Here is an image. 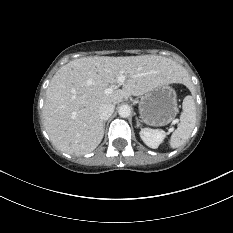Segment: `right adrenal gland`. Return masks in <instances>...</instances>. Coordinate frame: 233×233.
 <instances>
[{
	"label": "right adrenal gland",
	"instance_id": "right-adrenal-gland-1",
	"mask_svg": "<svg viewBox=\"0 0 233 233\" xmlns=\"http://www.w3.org/2000/svg\"><path fill=\"white\" fill-rule=\"evenodd\" d=\"M105 124H106V121L103 123V125H104V128H105Z\"/></svg>",
	"mask_w": 233,
	"mask_h": 233
}]
</instances>
